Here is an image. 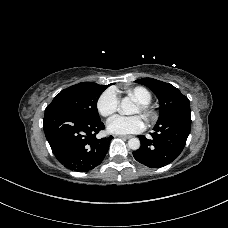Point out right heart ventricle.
<instances>
[{"instance_id": "e07e8e85", "label": "right heart ventricle", "mask_w": 228, "mask_h": 228, "mask_svg": "<svg viewBox=\"0 0 228 228\" xmlns=\"http://www.w3.org/2000/svg\"><path fill=\"white\" fill-rule=\"evenodd\" d=\"M125 92L136 103L149 104L152 101V94L145 87L135 86L126 89Z\"/></svg>"}]
</instances>
